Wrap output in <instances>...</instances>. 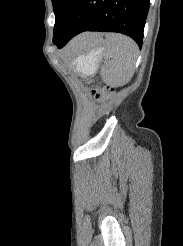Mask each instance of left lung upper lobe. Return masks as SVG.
I'll use <instances>...</instances> for the list:
<instances>
[{"label":"left lung upper lobe","mask_w":183,"mask_h":246,"mask_svg":"<svg viewBox=\"0 0 183 246\" xmlns=\"http://www.w3.org/2000/svg\"><path fill=\"white\" fill-rule=\"evenodd\" d=\"M76 0H52L55 13L54 36L64 24Z\"/></svg>","instance_id":"obj_1"}]
</instances>
